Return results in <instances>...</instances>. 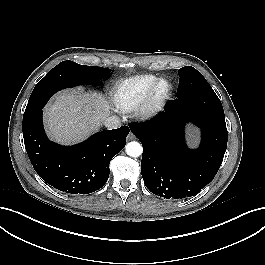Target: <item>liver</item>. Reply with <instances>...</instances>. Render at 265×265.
Here are the masks:
<instances>
[{
    "instance_id": "1",
    "label": "liver",
    "mask_w": 265,
    "mask_h": 265,
    "mask_svg": "<svg viewBox=\"0 0 265 265\" xmlns=\"http://www.w3.org/2000/svg\"><path fill=\"white\" fill-rule=\"evenodd\" d=\"M109 114V103L102 94L78 88L58 93L45 108L44 119L49 137L66 145L97 131Z\"/></svg>"
}]
</instances>
